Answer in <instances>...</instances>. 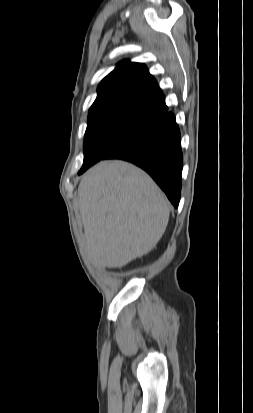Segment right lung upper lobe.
Listing matches in <instances>:
<instances>
[{
  "mask_svg": "<svg viewBox=\"0 0 253 413\" xmlns=\"http://www.w3.org/2000/svg\"><path fill=\"white\" fill-rule=\"evenodd\" d=\"M110 110H132L163 118L168 114L164 96L144 64L120 62L98 86L89 115Z\"/></svg>",
  "mask_w": 253,
  "mask_h": 413,
  "instance_id": "cb5924a9",
  "label": "right lung upper lobe"
}]
</instances>
